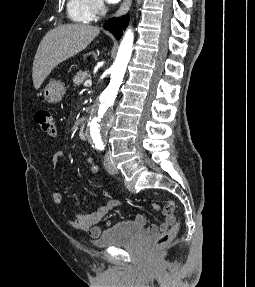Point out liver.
<instances>
[{
  "instance_id": "1",
  "label": "liver",
  "mask_w": 255,
  "mask_h": 287,
  "mask_svg": "<svg viewBox=\"0 0 255 287\" xmlns=\"http://www.w3.org/2000/svg\"><path fill=\"white\" fill-rule=\"evenodd\" d=\"M99 32L100 28L89 24H65L47 32L38 46L33 62L35 90L40 88L58 64L85 50Z\"/></svg>"
}]
</instances>
